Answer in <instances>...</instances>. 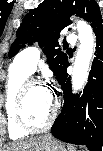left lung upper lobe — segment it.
Masks as SVG:
<instances>
[{
    "label": "left lung upper lobe",
    "mask_w": 103,
    "mask_h": 151,
    "mask_svg": "<svg viewBox=\"0 0 103 151\" xmlns=\"http://www.w3.org/2000/svg\"><path fill=\"white\" fill-rule=\"evenodd\" d=\"M73 14L91 22L94 30H103V19L96 1L44 0L23 18L8 56L13 57L27 42L32 44V41H39L47 57L46 62L57 76L67 63V55L60 48L56 49L59 46L58 38L60 32L72 23L69 17Z\"/></svg>",
    "instance_id": "left-lung-upper-lobe-1"
}]
</instances>
